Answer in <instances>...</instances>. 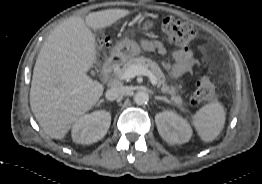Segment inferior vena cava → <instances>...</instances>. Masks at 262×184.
<instances>
[{
  "label": "inferior vena cava",
  "mask_w": 262,
  "mask_h": 184,
  "mask_svg": "<svg viewBox=\"0 0 262 184\" xmlns=\"http://www.w3.org/2000/svg\"><path fill=\"white\" fill-rule=\"evenodd\" d=\"M126 93V88L124 86H117L112 87L106 92V99L107 100H115L121 96H123Z\"/></svg>",
  "instance_id": "1"
}]
</instances>
